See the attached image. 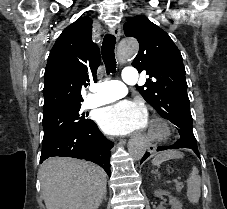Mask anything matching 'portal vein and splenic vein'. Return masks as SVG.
<instances>
[{
  "mask_svg": "<svg viewBox=\"0 0 227 209\" xmlns=\"http://www.w3.org/2000/svg\"><path fill=\"white\" fill-rule=\"evenodd\" d=\"M175 191H177L179 194L181 193L180 191L182 190L183 188V185H184V182L183 181H176L175 183Z\"/></svg>",
  "mask_w": 227,
  "mask_h": 209,
  "instance_id": "1",
  "label": "portal vein and splenic vein"
}]
</instances>
